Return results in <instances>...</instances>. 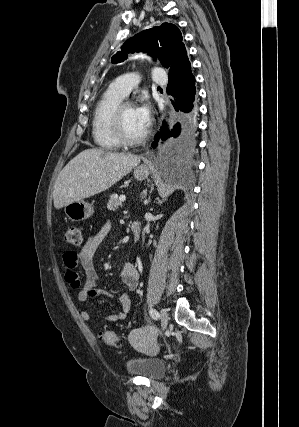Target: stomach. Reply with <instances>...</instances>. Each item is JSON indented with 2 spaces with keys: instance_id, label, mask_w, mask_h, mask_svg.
<instances>
[{
  "instance_id": "0dacf381",
  "label": "stomach",
  "mask_w": 299,
  "mask_h": 427,
  "mask_svg": "<svg viewBox=\"0 0 299 427\" xmlns=\"http://www.w3.org/2000/svg\"><path fill=\"white\" fill-rule=\"evenodd\" d=\"M150 169L148 166H138L134 169V177L144 180L148 177ZM66 216L73 222L86 220L94 213V208L89 203L79 200L64 206Z\"/></svg>"
}]
</instances>
